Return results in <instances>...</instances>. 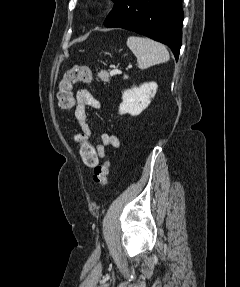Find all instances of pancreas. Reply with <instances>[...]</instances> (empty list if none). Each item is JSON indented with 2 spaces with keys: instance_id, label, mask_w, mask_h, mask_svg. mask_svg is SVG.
Here are the masks:
<instances>
[{
  "instance_id": "obj_1",
  "label": "pancreas",
  "mask_w": 240,
  "mask_h": 287,
  "mask_svg": "<svg viewBox=\"0 0 240 287\" xmlns=\"http://www.w3.org/2000/svg\"><path fill=\"white\" fill-rule=\"evenodd\" d=\"M97 77L101 80V81H104V82H109L110 81V75L107 71H100L98 74H97Z\"/></svg>"
}]
</instances>
